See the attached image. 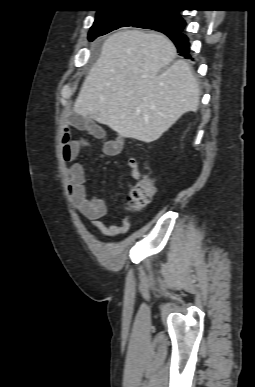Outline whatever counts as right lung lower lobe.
Returning a JSON list of instances; mask_svg holds the SVG:
<instances>
[{
	"instance_id": "98d812e1",
	"label": "right lung lower lobe",
	"mask_w": 255,
	"mask_h": 387,
	"mask_svg": "<svg viewBox=\"0 0 255 387\" xmlns=\"http://www.w3.org/2000/svg\"><path fill=\"white\" fill-rule=\"evenodd\" d=\"M183 28L179 30H166L162 33L166 34L176 45L181 56L190 59L188 38L182 33Z\"/></svg>"
}]
</instances>
